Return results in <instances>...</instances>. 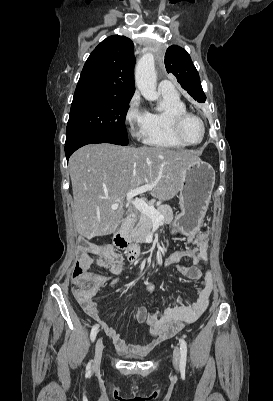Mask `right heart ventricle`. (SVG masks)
<instances>
[{
  "label": "right heart ventricle",
  "instance_id": "e07e8e85",
  "mask_svg": "<svg viewBox=\"0 0 273 401\" xmlns=\"http://www.w3.org/2000/svg\"><path fill=\"white\" fill-rule=\"evenodd\" d=\"M162 110L148 112L145 143L157 147L184 148L185 145L175 139L171 130L172 118L187 111V106L178 93L161 94Z\"/></svg>",
  "mask_w": 273,
  "mask_h": 401
}]
</instances>
